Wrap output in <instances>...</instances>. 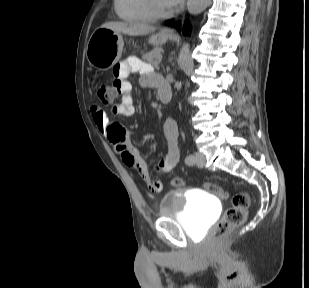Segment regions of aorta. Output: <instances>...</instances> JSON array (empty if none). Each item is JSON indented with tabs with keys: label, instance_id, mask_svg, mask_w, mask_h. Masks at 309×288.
I'll list each match as a JSON object with an SVG mask.
<instances>
[{
	"label": "aorta",
	"instance_id": "obj_1",
	"mask_svg": "<svg viewBox=\"0 0 309 288\" xmlns=\"http://www.w3.org/2000/svg\"><path fill=\"white\" fill-rule=\"evenodd\" d=\"M211 3V0H188L187 1V9L190 14L197 15L202 13L207 6ZM189 53V44H184L180 56H179V66L180 68H184L185 63L188 58Z\"/></svg>",
	"mask_w": 309,
	"mask_h": 288
}]
</instances>
